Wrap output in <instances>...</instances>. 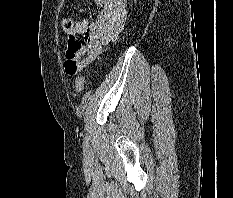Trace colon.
<instances>
[{
	"mask_svg": "<svg viewBox=\"0 0 233 198\" xmlns=\"http://www.w3.org/2000/svg\"><path fill=\"white\" fill-rule=\"evenodd\" d=\"M97 4H101L102 0H95ZM74 22L70 18H64L62 20V28L65 32L69 33L70 35L74 32ZM80 46L79 41H75L73 43V48L76 49ZM65 71L68 75H76L79 71L78 62L75 59V55L73 52H68L66 55L65 61ZM75 88L78 93L82 92L85 88V79L83 76H77L75 80Z\"/></svg>",
	"mask_w": 233,
	"mask_h": 198,
	"instance_id": "colon-1",
	"label": "colon"
}]
</instances>
